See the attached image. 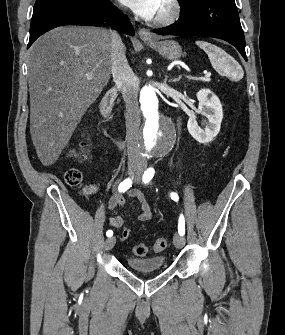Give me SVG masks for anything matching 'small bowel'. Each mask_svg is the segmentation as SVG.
I'll use <instances>...</instances> for the list:
<instances>
[{
    "label": "small bowel",
    "instance_id": "obj_1",
    "mask_svg": "<svg viewBox=\"0 0 285 335\" xmlns=\"http://www.w3.org/2000/svg\"><path fill=\"white\" fill-rule=\"evenodd\" d=\"M129 196L136 199L139 203V214L137 219L139 221H148L151 216V208L147 202L144 194L137 189L131 190ZM125 205V195L120 193H115L109 200V208L113 212V216L110 219V225L115 229H120L125 224V219L119 214V209Z\"/></svg>",
    "mask_w": 285,
    "mask_h": 335
}]
</instances>
